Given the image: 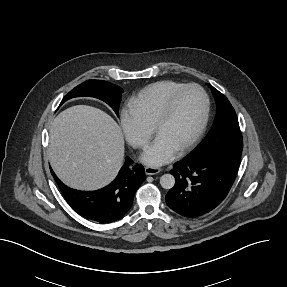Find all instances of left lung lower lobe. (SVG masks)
Wrapping results in <instances>:
<instances>
[{"label":"left lung lower lobe","mask_w":287,"mask_h":287,"mask_svg":"<svg viewBox=\"0 0 287 287\" xmlns=\"http://www.w3.org/2000/svg\"><path fill=\"white\" fill-rule=\"evenodd\" d=\"M242 152L223 150L218 155L197 153L174 164L176 182L165 196L167 205L189 218L204 215L227 196L237 174Z\"/></svg>","instance_id":"left-lung-lower-lobe-1"}]
</instances>
